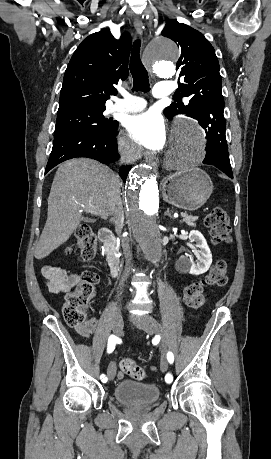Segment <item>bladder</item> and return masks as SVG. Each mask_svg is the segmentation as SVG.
<instances>
[{
	"mask_svg": "<svg viewBox=\"0 0 271 459\" xmlns=\"http://www.w3.org/2000/svg\"><path fill=\"white\" fill-rule=\"evenodd\" d=\"M160 393L156 385L124 381L115 386L113 398L122 405H151L159 399Z\"/></svg>",
	"mask_w": 271,
	"mask_h": 459,
	"instance_id": "bladder-1",
	"label": "bladder"
}]
</instances>
